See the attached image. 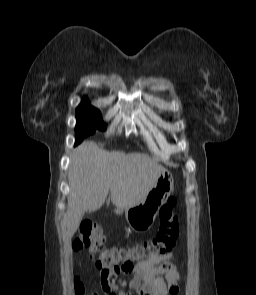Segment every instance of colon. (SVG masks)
<instances>
[{
    "mask_svg": "<svg viewBox=\"0 0 256 295\" xmlns=\"http://www.w3.org/2000/svg\"><path fill=\"white\" fill-rule=\"evenodd\" d=\"M175 205L176 198L170 197L161 207L159 231L156 236L129 247L106 249L104 247L106 239L101 226L92 222H83L73 241V250L88 249L95 266L104 271L117 268L130 270L139 263L158 259L169 253L176 242L178 218L174 212ZM74 291L76 295H85L84 286L78 278L74 280Z\"/></svg>",
    "mask_w": 256,
    "mask_h": 295,
    "instance_id": "1",
    "label": "colon"
}]
</instances>
